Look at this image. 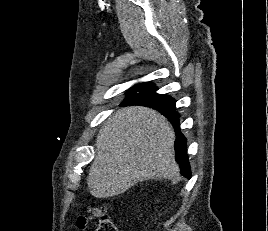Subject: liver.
I'll use <instances>...</instances> for the list:
<instances>
[{"label":"liver","mask_w":268,"mask_h":231,"mask_svg":"<svg viewBox=\"0 0 268 231\" xmlns=\"http://www.w3.org/2000/svg\"><path fill=\"white\" fill-rule=\"evenodd\" d=\"M175 133L156 110L144 106L119 109L104 122L87 176L89 192L108 198L148 179H176Z\"/></svg>","instance_id":"6515ba94"}]
</instances>
